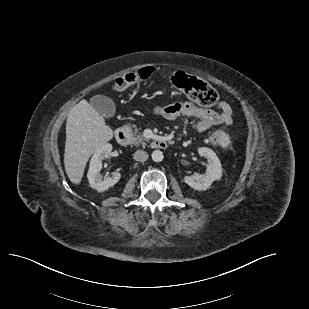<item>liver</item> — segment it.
<instances>
[{
	"instance_id": "liver-1",
	"label": "liver",
	"mask_w": 309,
	"mask_h": 309,
	"mask_svg": "<svg viewBox=\"0 0 309 309\" xmlns=\"http://www.w3.org/2000/svg\"><path fill=\"white\" fill-rule=\"evenodd\" d=\"M113 138V130L86 100L69 112L66 122L64 165L67 176L80 184L90 156Z\"/></svg>"
}]
</instances>
